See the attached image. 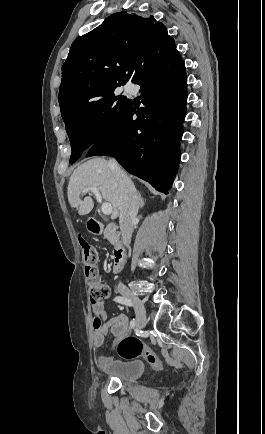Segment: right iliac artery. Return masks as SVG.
I'll use <instances>...</instances> for the list:
<instances>
[{
	"label": "right iliac artery",
	"mask_w": 265,
	"mask_h": 434,
	"mask_svg": "<svg viewBox=\"0 0 265 434\" xmlns=\"http://www.w3.org/2000/svg\"><path fill=\"white\" fill-rule=\"evenodd\" d=\"M114 301H115V302H118V303H120V304L127 305V306H131V305H132L131 302H130L127 298H125V297H123V296H116V297L114 298ZM130 327H131V328H134V327H135V319H133V320L130 322Z\"/></svg>",
	"instance_id": "right-iliac-artery-1"
}]
</instances>
